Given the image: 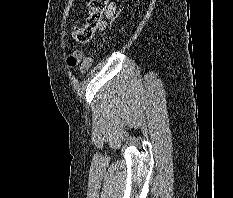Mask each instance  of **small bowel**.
Here are the masks:
<instances>
[{"label": "small bowel", "mask_w": 233, "mask_h": 198, "mask_svg": "<svg viewBox=\"0 0 233 198\" xmlns=\"http://www.w3.org/2000/svg\"><path fill=\"white\" fill-rule=\"evenodd\" d=\"M115 14V8L113 5H110L106 11V17L107 18H112ZM105 22H103L101 20L100 24L96 27V29L94 30V32L98 29H103L105 27ZM74 56L77 57L78 61L82 58V54L81 53H76Z\"/></svg>", "instance_id": "obj_1"}]
</instances>
